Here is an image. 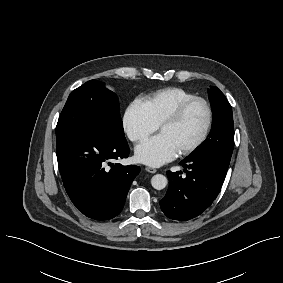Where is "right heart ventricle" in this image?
Returning <instances> with one entry per match:
<instances>
[{"instance_id":"obj_1","label":"right heart ventricle","mask_w":283,"mask_h":283,"mask_svg":"<svg viewBox=\"0 0 283 283\" xmlns=\"http://www.w3.org/2000/svg\"><path fill=\"white\" fill-rule=\"evenodd\" d=\"M195 95L180 87H167L154 91L143 98V103L154 122L159 125L181 103Z\"/></svg>"}]
</instances>
